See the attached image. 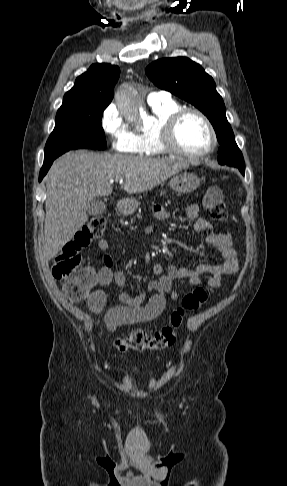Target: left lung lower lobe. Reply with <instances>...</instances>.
<instances>
[{"label":"left lung lower lobe","instance_id":"1","mask_svg":"<svg viewBox=\"0 0 287 486\" xmlns=\"http://www.w3.org/2000/svg\"><path fill=\"white\" fill-rule=\"evenodd\" d=\"M244 172H245V169L241 170V173H242V174H244Z\"/></svg>","mask_w":287,"mask_h":486}]
</instances>
